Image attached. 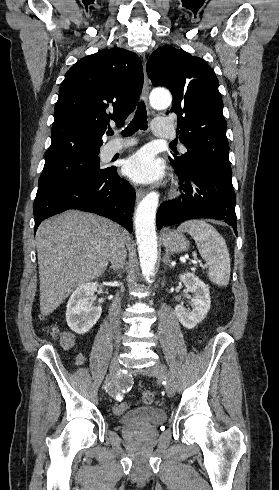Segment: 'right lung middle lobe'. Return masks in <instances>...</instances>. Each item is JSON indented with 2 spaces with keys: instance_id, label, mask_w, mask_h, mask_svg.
<instances>
[{
  "instance_id": "right-lung-middle-lobe-1",
  "label": "right lung middle lobe",
  "mask_w": 279,
  "mask_h": 490,
  "mask_svg": "<svg viewBox=\"0 0 279 490\" xmlns=\"http://www.w3.org/2000/svg\"><path fill=\"white\" fill-rule=\"evenodd\" d=\"M110 168L100 169L98 155L83 156L45 163L39 186L104 176Z\"/></svg>"
}]
</instances>
